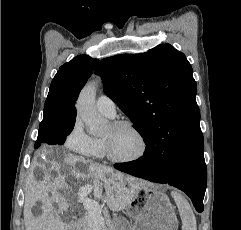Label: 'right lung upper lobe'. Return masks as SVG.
Masks as SVG:
<instances>
[{
	"mask_svg": "<svg viewBox=\"0 0 241 230\" xmlns=\"http://www.w3.org/2000/svg\"><path fill=\"white\" fill-rule=\"evenodd\" d=\"M98 63V59L79 55L60 67L50 85L44 118L56 121L76 118L74 102Z\"/></svg>",
	"mask_w": 241,
	"mask_h": 230,
	"instance_id": "1",
	"label": "right lung upper lobe"
}]
</instances>
